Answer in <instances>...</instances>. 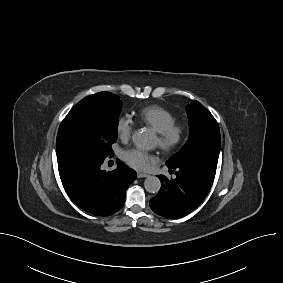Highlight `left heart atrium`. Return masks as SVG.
<instances>
[{
  "mask_svg": "<svg viewBox=\"0 0 283 283\" xmlns=\"http://www.w3.org/2000/svg\"><path fill=\"white\" fill-rule=\"evenodd\" d=\"M124 160L133 168L148 170L155 157L141 148H131L124 152Z\"/></svg>",
  "mask_w": 283,
  "mask_h": 283,
  "instance_id": "obj_1",
  "label": "left heart atrium"
}]
</instances>
